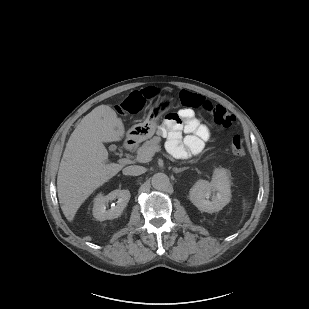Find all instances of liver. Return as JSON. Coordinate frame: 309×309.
<instances>
[{
	"label": "liver",
	"mask_w": 309,
	"mask_h": 309,
	"mask_svg": "<svg viewBox=\"0 0 309 309\" xmlns=\"http://www.w3.org/2000/svg\"><path fill=\"white\" fill-rule=\"evenodd\" d=\"M125 128L116 112L100 105L87 114L71 134L57 176L61 209L73 221L84 201L123 165L106 163L108 151L103 143L122 140Z\"/></svg>",
	"instance_id": "1"
}]
</instances>
